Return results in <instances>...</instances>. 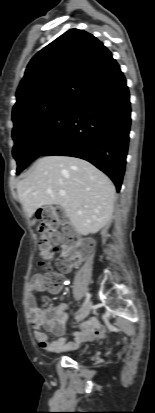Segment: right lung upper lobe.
Instances as JSON below:
<instances>
[{
    "instance_id": "obj_1",
    "label": "right lung upper lobe",
    "mask_w": 155,
    "mask_h": 413,
    "mask_svg": "<svg viewBox=\"0 0 155 413\" xmlns=\"http://www.w3.org/2000/svg\"><path fill=\"white\" fill-rule=\"evenodd\" d=\"M119 69L111 52L92 34L67 31L28 64L12 111L14 128L59 106L76 104Z\"/></svg>"
}]
</instances>
